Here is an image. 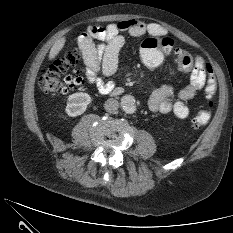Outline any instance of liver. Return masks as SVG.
Masks as SVG:
<instances>
[{"mask_svg":"<svg viewBox=\"0 0 233 233\" xmlns=\"http://www.w3.org/2000/svg\"><path fill=\"white\" fill-rule=\"evenodd\" d=\"M65 42L66 38L62 37L53 44L48 55L49 60H53L60 53L65 45Z\"/></svg>","mask_w":233,"mask_h":233,"instance_id":"6515ba94","label":"liver"}]
</instances>
